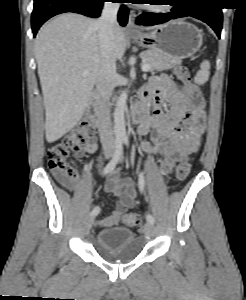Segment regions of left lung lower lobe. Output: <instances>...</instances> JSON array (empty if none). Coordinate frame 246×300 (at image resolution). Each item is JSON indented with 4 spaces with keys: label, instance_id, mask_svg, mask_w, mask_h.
<instances>
[{
    "label": "left lung lower lobe",
    "instance_id": "obj_1",
    "mask_svg": "<svg viewBox=\"0 0 246 300\" xmlns=\"http://www.w3.org/2000/svg\"><path fill=\"white\" fill-rule=\"evenodd\" d=\"M186 16H191L207 23L220 38L223 16L218 0H180V3L174 5L169 13L141 14L137 24L151 26Z\"/></svg>",
    "mask_w": 246,
    "mask_h": 300
}]
</instances>
